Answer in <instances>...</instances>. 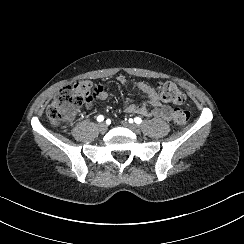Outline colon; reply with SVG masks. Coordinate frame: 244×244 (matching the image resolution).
Here are the masks:
<instances>
[{
	"instance_id": "1",
	"label": "colon",
	"mask_w": 244,
	"mask_h": 244,
	"mask_svg": "<svg viewBox=\"0 0 244 244\" xmlns=\"http://www.w3.org/2000/svg\"><path fill=\"white\" fill-rule=\"evenodd\" d=\"M155 89L163 99L173 103L182 104L186 95L173 82L159 81ZM96 95V85L89 79H83L74 84L63 87L47 109V116L51 125L59 129L65 126L82 105ZM188 110H176L173 113V123L177 127H183L189 120Z\"/></svg>"
}]
</instances>
